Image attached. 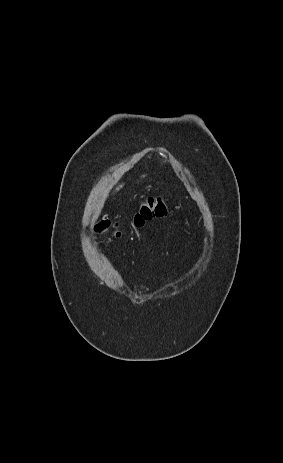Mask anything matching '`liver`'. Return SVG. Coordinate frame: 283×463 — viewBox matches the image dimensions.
Returning a JSON list of instances; mask_svg holds the SVG:
<instances>
[{
  "label": "liver",
  "instance_id": "obj_1",
  "mask_svg": "<svg viewBox=\"0 0 283 463\" xmlns=\"http://www.w3.org/2000/svg\"><path fill=\"white\" fill-rule=\"evenodd\" d=\"M120 188H122V185H120L119 187H117V189H116V190H119Z\"/></svg>",
  "mask_w": 283,
  "mask_h": 463
}]
</instances>
